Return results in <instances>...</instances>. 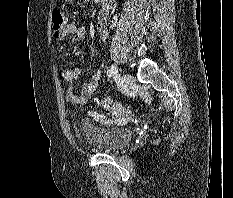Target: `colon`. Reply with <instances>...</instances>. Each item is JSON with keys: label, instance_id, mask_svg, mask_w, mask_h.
<instances>
[{"label": "colon", "instance_id": "colon-1", "mask_svg": "<svg viewBox=\"0 0 233 198\" xmlns=\"http://www.w3.org/2000/svg\"><path fill=\"white\" fill-rule=\"evenodd\" d=\"M52 23H53L54 32L61 31L66 25L65 16L60 10L53 11ZM97 107L103 110L108 115L119 118H123L124 116H126L131 112V109L129 107L111 98H102L98 100Z\"/></svg>", "mask_w": 233, "mask_h": 198}]
</instances>
